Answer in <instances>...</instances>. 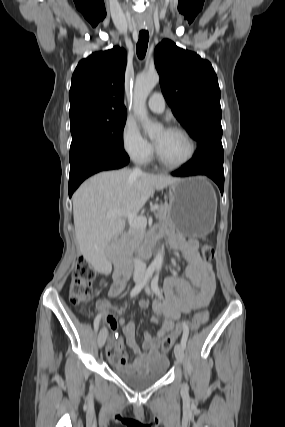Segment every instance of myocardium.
Listing matches in <instances>:
<instances>
[{"label": "myocardium", "instance_id": "f54148a6", "mask_svg": "<svg viewBox=\"0 0 285 427\" xmlns=\"http://www.w3.org/2000/svg\"><path fill=\"white\" fill-rule=\"evenodd\" d=\"M167 130L179 133L182 136H184V138L187 140V142L189 144L188 154L186 155V157L183 160H181L177 163H170V162L165 161L160 156V154H159V152L155 146V148H154L155 158H156L157 162L165 168L178 169V168H181V167L187 165L194 158L195 152H196V143H195L193 137L191 136V134L186 129H184L183 127L171 126Z\"/></svg>", "mask_w": 285, "mask_h": 427}]
</instances>
